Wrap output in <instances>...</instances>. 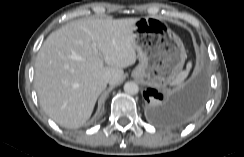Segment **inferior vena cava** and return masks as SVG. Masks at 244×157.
<instances>
[{
  "mask_svg": "<svg viewBox=\"0 0 244 157\" xmlns=\"http://www.w3.org/2000/svg\"><path fill=\"white\" fill-rule=\"evenodd\" d=\"M110 80H111V76H110L109 74H104V75L102 76V81H103L104 83H109Z\"/></svg>",
  "mask_w": 244,
  "mask_h": 157,
  "instance_id": "inferior-vena-cava-1",
  "label": "inferior vena cava"
}]
</instances>
